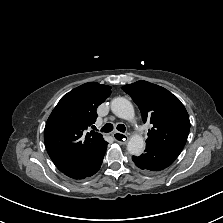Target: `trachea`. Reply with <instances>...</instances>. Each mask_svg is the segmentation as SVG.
I'll use <instances>...</instances> for the list:
<instances>
[{
  "instance_id": "3493384b",
  "label": "trachea",
  "mask_w": 223,
  "mask_h": 223,
  "mask_svg": "<svg viewBox=\"0 0 223 223\" xmlns=\"http://www.w3.org/2000/svg\"><path fill=\"white\" fill-rule=\"evenodd\" d=\"M116 129L120 132H125L126 127L123 124H119L117 125ZM112 130H113V125L111 123L105 124L101 129V131L105 133L111 132Z\"/></svg>"
}]
</instances>
